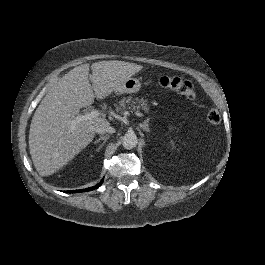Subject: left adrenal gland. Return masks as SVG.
<instances>
[{"label": "left adrenal gland", "mask_w": 265, "mask_h": 265, "mask_svg": "<svg viewBox=\"0 0 265 265\" xmlns=\"http://www.w3.org/2000/svg\"><path fill=\"white\" fill-rule=\"evenodd\" d=\"M149 118H146L143 122L139 123V127L142 128L143 130L149 131Z\"/></svg>", "instance_id": "left-adrenal-gland-1"}]
</instances>
